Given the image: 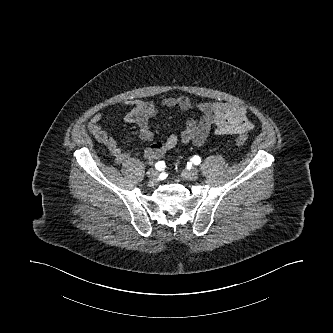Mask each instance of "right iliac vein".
I'll return each instance as SVG.
<instances>
[{"label": "right iliac vein", "instance_id": "right-iliac-vein-1", "mask_svg": "<svg viewBox=\"0 0 333 333\" xmlns=\"http://www.w3.org/2000/svg\"><path fill=\"white\" fill-rule=\"evenodd\" d=\"M158 175H159L158 172H157L155 169H153V168H151V169H149V170L147 171V176H148L152 181L157 180Z\"/></svg>", "mask_w": 333, "mask_h": 333}]
</instances>
